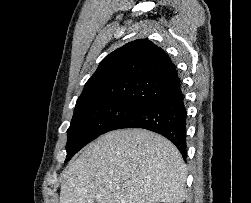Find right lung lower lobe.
Here are the masks:
<instances>
[{
	"label": "right lung lower lobe",
	"instance_id": "right-lung-lower-lobe-1",
	"mask_svg": "<svg viewBox=\"0 0 251 203\" xmlns=\"http://www.w3.org/2000/svg\"><path fill=\"white\" fill-rule=\"evenodd\" d=\"M143 128L169 139L187 157V111L181 88L170 95L140 108L118 123L113 130Z\"/></svg>",
	"mask_w": 251,
	"mask_h": 203
}]
</instances>
